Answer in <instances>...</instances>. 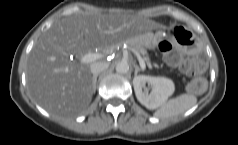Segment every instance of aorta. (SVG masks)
<instances>
[{"mask_svg": "<svg viewBox=\"0 0 238 145\" xmlns=\"http://www.w3.org/2000/svg\"><path fill=\"white\" fill-rule=\"evenodd\" d=\"M129 71V65L126 61H120L116 65V72L119 74H125Z\"/></svg>", "mask_w": 238, "mask_h": 145, "instance_id": "1", "label": "aorta"}]
</instances>
